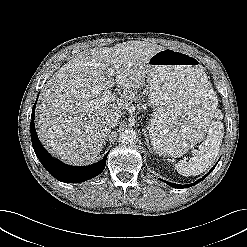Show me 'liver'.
Segmentation results:
<instances>
[{
    "mask_svg": "<svg viewBox=\"0 0 247 247\" xmlns=\"http://www.w3.org/2000/svg\"><path fill=\"white\" fill-rule=\"evenodd\" d=\"M163 49L129 41L79 54L64 64L39 96L35 121L41 142L69 163L94 161L106 143V115H122L121 110L147 78L149 59ZM115 84L117 92L111 93ZM107 91L110 99L105 103L101 98Z\"/></svg>",
    "mask_w": 247,
    "mask_h": 247,
    "instance_id": "1",
    "label": "liver"
}]
</instances>
